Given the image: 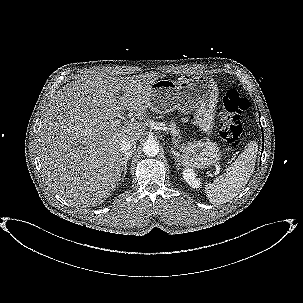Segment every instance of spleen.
Returning a JSON list of instances; mask_svg holds the SVG:
<instances>
[{
    "mask_svg": "<svg viewBox=\"0 0 303 303\" xmlns=\"http://www.w3.org/2000/svg\"><path fill=\"white\" fill-rule=\"evenodd\" d=\"M258 145L248 143L243 153L233 162L226 173L212 183L205 184L206 196L214 205L224 204L236 197L249 181L256 162Z\"/></svg>",
    "mask_w": 303,
    "mask_h": 303,
    "instance_id": "3e777b00",
    "label": "spleen"
}]
</instances>
